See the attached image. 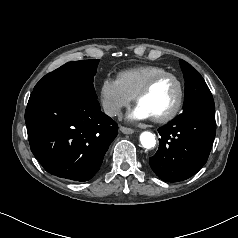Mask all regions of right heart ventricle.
<instances>
[{
	"label": "right heart ventricle",
	"instance_id": "right-heart-ventricle-1",
	"mask_svg": "<svg viewBox=\"0 0 238 238\" xmlns=\"http://www.w3.org/2000/svg\"><path fill=\"white\" fill-rule=\"evenodd\" d=\"M166 72V69L155 65H142L120 72L117 80L122 89L134 98L142 86L154 75Z\"/></svg>",
	"mask_w": 238,
	"mask_h": 238
}]
</instances>
